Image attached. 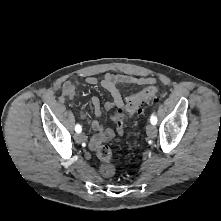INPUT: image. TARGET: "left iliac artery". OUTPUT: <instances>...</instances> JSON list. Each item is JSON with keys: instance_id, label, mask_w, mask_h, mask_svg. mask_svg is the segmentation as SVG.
<instances>
[{"instance_id": "obj_1", "label": "left iliac artery", "mask_w": 221, "mask_h": 221, "mask_svg": "<svg viewBox=\"0 0 221 221\" xmlns=\"http://www.w3.org/2000/svg\"><path fill=\"white\" fill-rule=\"evenodd\" d=\"M150 122L151 124L153 125H156L157 124V117L155 114H152L151 117H150Z\"/></svg>"}]
</instances>
